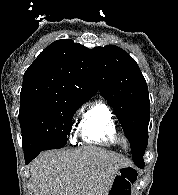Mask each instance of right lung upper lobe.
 Listing matches in <instances>:
<instances>
[{
  "label": "right lung upper lobe",
  "instance_id": "cb5924a9",
  "mask_svg": "<svg viewBox=\"0 0 178 195\" xmlns=\"http://www.w3.org/2000/svg\"><path fill=\"white\" fill-rule=\"evenodd\" d=\"M97 91L90 50L62 39L45 48L26 70L20 98L87 101Z\"/></svg>",
  "mask_w": 178,
  "mask_h": 195
}]
</instances>
